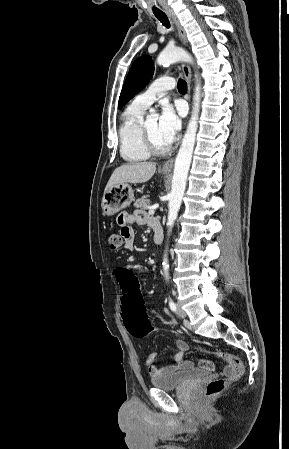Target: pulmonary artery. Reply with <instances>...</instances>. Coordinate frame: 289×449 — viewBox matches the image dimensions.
<instances>
[{
  "instance_id": "1",
  "label": "pulmonary artery",
  "mask_w": 289,
  "mask_h": 449,
  "mask_svg": "<svg viewBox=\"0 0 289 449\" xmlns=\"http://www.w3.org/2000/svg\"><path fill=\"white\" fill-rule=\"evenodd\" d=\"M175 81L171 77H159L152 82L149 88L143 93L137 95L132 104L137 107L147 109L157 99L162 97L166 91L173 89Z\"/></svg>"
}]
</instances>
